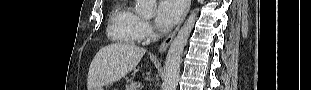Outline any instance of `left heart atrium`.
Returning <instances> with one entry per match:
<instances>
[{"label": "left heart atrium", "instance_id": "left-heart-atrium-1", "mask_svg": "<svg viewBox=\"0 0 311 90\" xmlns=\"http://www.w3.org/2000/svg\"><path fill=\"white\" fill-rule=\"evenodd\" d=\"M182 0H162L158 2L155 23L160 30H168L176 24L183 12Z\"/></svg>", "mask_w": 311, "mask_h": 90}]
</instances>
